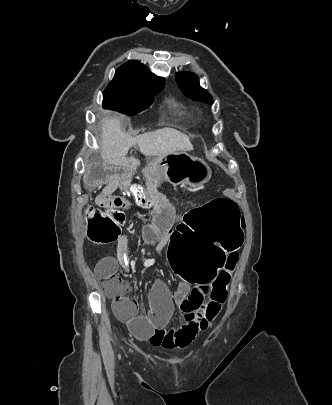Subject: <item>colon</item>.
<instances>
[{"label":"colon","mask_w":332,"mask_h":405,"mask_svg":"<svg viewBox=\"0 0 332 405\" xmlns=\"http://www.w3.org/2000/svg\"><path fill=\"white\" fill-rule=\"evenodd\" d=\"M151 187V184H128L124 196L132 197L142 212H154L155 205L147 195ZM85 216L91 241L110 243L120 236L124 211L88 206ZM187 219L180 220V226L175 227L170 240H166L164 265L168 275H179V280L187 281L189 287H208L212 281L210 298L199 321L204 330L227 301L228 286L238 260L233 254H239L243 243L240 207L231 197H212L210 202L194 205L193 211L187 212ZM102 287L113 300L118 316H135L137 299L124 279L110 273L105 276Z\"/></svg>","instance_id":"colon-1"}]
</instances>
